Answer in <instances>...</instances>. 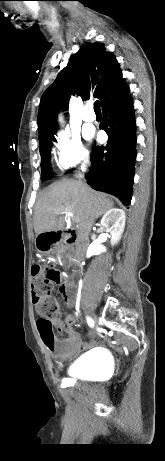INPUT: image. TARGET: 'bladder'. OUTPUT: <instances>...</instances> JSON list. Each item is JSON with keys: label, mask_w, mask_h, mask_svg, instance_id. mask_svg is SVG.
<instances>
[{"label": "bladder", "mask_w": 165, "mask_h": 461, "mask_svg": "<svg viewBox=\"0 0 165 461\" xmlns=\"http://www.w3.org/2000/svg\"><path fill=\"white\" fill-rule=\"evenodd\" d=\"M106 356V353L83 355L71 366L68 373L78 379L97 378L106 369Z\"/></svg>", "instance_id": "1"}]
</instances>
